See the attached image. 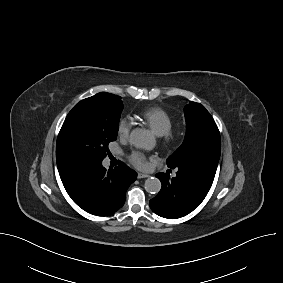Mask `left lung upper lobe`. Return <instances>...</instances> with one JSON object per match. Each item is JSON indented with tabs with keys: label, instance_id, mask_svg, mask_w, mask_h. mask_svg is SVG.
<instances>
[{
	"label": "left lung upper lobe",
	"instance_id": "left-lung-upper-lobe-1",
	"mask_svg": "<svg viewBox=\"0 0 283 283\" xmlns=\"http://www.w3.org/2000/svg\"><path fill=\"white\" fill-rule=\"evenodd\" d=\"M186 136L183 144L167 159L169 168L195 173L213 183L221 152L218 127L206 110L190 101L184 107Z\"/></svg>",
	"mask_w": 283,
	"mask_h": 283
}]
</instances>
